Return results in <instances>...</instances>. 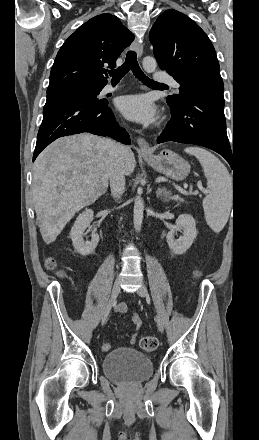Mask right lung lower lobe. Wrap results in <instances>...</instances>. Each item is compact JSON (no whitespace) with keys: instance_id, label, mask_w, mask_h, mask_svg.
<instances>
[{"instance_id":"98d812e1","label":"right lung lower lobe","mask_w":259,"mask_h":440,"mask_svg":"<svg viewBox=\"0 0 259 440\" xmlns=\"http://www.w3.org/2000/svg\"><path fill=\"white\" fill-rule=\"evenodd\" d=\"M108 102L93 94H72L48 97L43 109V121L37 135L33 161L55 139L89 132L110 136L130 144L129 134L119 127Z\"/></svg>"}]
</instances>
